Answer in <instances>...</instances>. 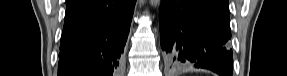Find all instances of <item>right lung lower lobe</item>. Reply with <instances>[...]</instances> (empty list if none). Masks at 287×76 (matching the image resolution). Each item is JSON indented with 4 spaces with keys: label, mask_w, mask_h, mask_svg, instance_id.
I'll return each mask as SVG.
<instances>
[{
    "label": "right lung lower lobe",
    "mask_w": 287,
    "mask_h": 76,
    "mask_svg": "<svg viewBox=\"0 0 287 76\" xmlns=\"http://www.w3.org/2000/svg\"><path fill=\"white\" fill-rule=\"evenodd\" d=\"M136 0L67 4L58 76H112L118 69Z\"/></svg>",
    "instance_id": "obj_1"
}]
</instances>
